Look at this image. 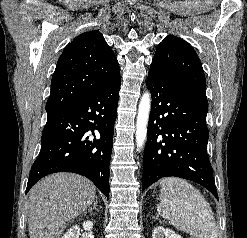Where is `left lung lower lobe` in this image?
<instances>
[{
	"label": "left lung lower lobe",
	"mask_w": 247,
	"mask_h": 238,
	"mask_svg": "<svg viewBox=\"0 0 247 238\" xmlns=\"http://www.w3.org/2000/svg\"><path fill=\"white\" fill-rule=\"evenodd\" d=\"M152 94L148 139L144 150L142 190L163 177H180L204 186L217 199L207 156L208 106L149 70Z\"/></svg>",
	"instance_id": "obj_1"
}]
</instances>
